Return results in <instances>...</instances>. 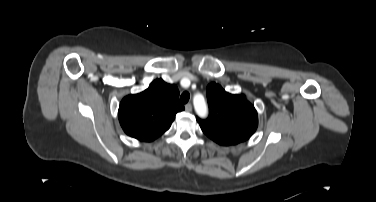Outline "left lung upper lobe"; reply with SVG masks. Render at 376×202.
I'll use <instances>...</instances> for the list:
<instances>
[{
    "label": "left lung upper lobe",
    "instance_id": "obj_1",
    "mask_svg": "<svg viewBox=\"0 0 376 202\" xmlns=\"http://www.w3.org/2000/svg\"><path fill=\"white\" fill-rule=\"evenodd\" d=\"M209 117H197L202 131L220 145H234L246 141L258 125L254 106L240 95L226 92L211 83L206 88Z\"/></svg>",
    "mask_w": 376,
    "mask_h": 202
}]
</instances>
